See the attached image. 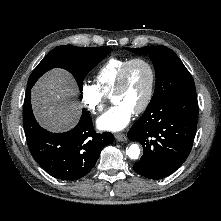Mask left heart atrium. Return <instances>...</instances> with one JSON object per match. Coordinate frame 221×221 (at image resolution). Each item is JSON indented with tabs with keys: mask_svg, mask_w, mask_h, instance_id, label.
Masks as SVG:
<instances>
[{
	"mask_svg": "<svg viewBox=\"0 0 221 221\" xmlns=\"http://www.w3.org/2000/svg\"><path fill=\"white\" fill-rule=\"evenodd\" d=\"M133 111L123 104H115L97 120V126L106 131H120L131 121Z\"/></svg>",
	"mask_w": 221,
	"mask_h": 221,
	"instance_id": "obj_1",
	"label": "left heart atrium"
}]
</instances>
